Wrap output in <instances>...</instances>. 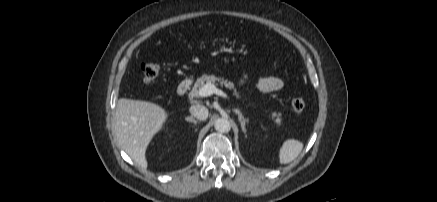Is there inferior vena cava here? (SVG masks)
<instances>
[{
  "label": "inferior vena cava",
  "mask_w": 437,
  "mask_h": 202,
  "mask_svg": "<svg viewBox=\"0 0 437 202\" xmlns=\"http://www.w3.org/2000/svg\"><path fill=\"white\" fill-rule=\"evenodd\" d=\"M190 113L192 116L199 120H206L208 117V109L200 104H194L190 107Z\"/></svg>",
  "instance_id": "602c4592"
}]
</instances>
